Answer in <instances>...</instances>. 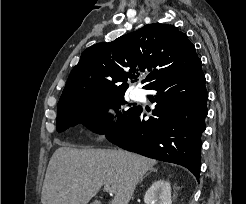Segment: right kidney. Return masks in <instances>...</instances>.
Returning a JSON list of instances; mask_svg holds the SVG:
<instances>
[{"mask_svg": "<svg viewBox=\"0 0 246 204\" xmlns=\"http://www.w3.org/2000/svg\"><path fill=\"white\" fill-rule=\"evenodd\" d=\"M145 204H172L170 183L158 180L152 183L144 195Z\"/></svg>", "mask_w": 246, "mask_h": 204, "instance_id": "ca27d5eb", "label": "right kidney"}]
</instances>
